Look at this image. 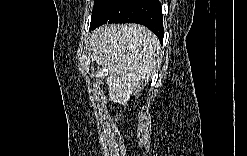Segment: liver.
I'll return each mask as SVG.
<instances>
[{"mask_svg":"<svg viewBox=\"0 0 247 156\" xmlns=\"http://www.w3.org/2000/svg\"><path fill=\"white\" fill-rule=\"evenodd\" d=\"M160 49L156 35L137 24L103 25L89 43L91 57L107 70L110 97L122 104L161 66Z\"/></svg>","mask_w":247,"mask_h":156,"instance_id":"liver-1","label":"liver"}]
</instances>
